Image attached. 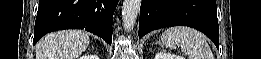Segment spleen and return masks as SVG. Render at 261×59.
<instances>
[{
    "mask_svg": "<svg viewBox=\"0 0 261 59\" xmlns=\"http://www.w3.org/2000/svg\"><path fill=\"white\" fill-rule=\"evenodd\" d=\"M161 42L170 49L179 46L189 59H214L204 35L189 27L168 28L161 35Z\"/></svg>",
    "mask_w": 261,
    "mask_h": 59,
    "instance_id": "1",
    "label": "spleen"
}]
</instances>
